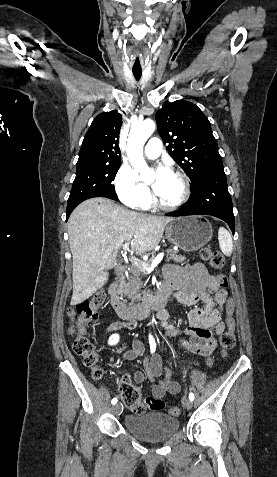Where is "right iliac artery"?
Returning a JSON list of instances; mask_svg holds the SVG:
<instances>
[{
	"label": "right iliac artery",
	"instance_id": "1",
	"mask_svg": "<svg viewBox=\"0 0 277 477\" xmlns=\"http://www.w3.org/2000/svg\"><path fill=\"white\" fill-rule=\"evenodd\" d=\"M149 343H150V349H151V353H153L156 349V343H155V340L154 338L150 335L149 336ZM111 403L114 405L117 403V398H113Z\"/></svg>",
	"mask_w": 277,
	"mask_h": 477
}]
</instances>
